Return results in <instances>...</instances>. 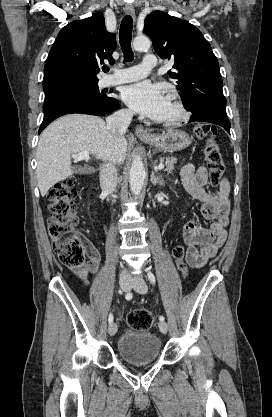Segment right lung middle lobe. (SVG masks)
<instances>
[{"mask_svg":"<svg viewBox=\"0 0 272 417\" xmlns=\"http://www.w3.org/2000/svg\"><path fill=\"white\" fill-rule=\"evenodd\" d=\"M45 100L43 111L45 112L50 107L55 104L72 100V99H81V100H90L102 102L107 99L106 92L99 91L97 83L92 84H80V85H65L49 90H44Z\"/></svg>","mask_w":272,"mask_h":417,"instance_id":"1","label":"right lung middle lobe"}]
</instances>
